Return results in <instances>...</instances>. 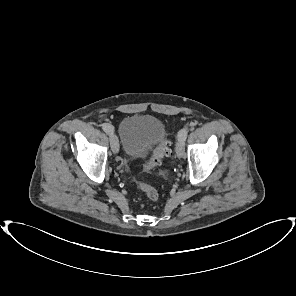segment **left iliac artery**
<instances>
[{
  "label": "left iliac artery",
  "mask_w": 296,
  "mask_h": 296,
  "mask_svg": "<svg viewBox=\"0 0 296 296\" xmlns=\"http://www.w3.org/2000/svg\"><path fill=\"white\" fill-rule=\"evenodd\" d=\"M187 134H188V130L186 128L181 129L180 132L178 133V139H182L185 141L187 138Z\"/></svg>",
  "instance_id": "obj_1"
}]
</instances>
